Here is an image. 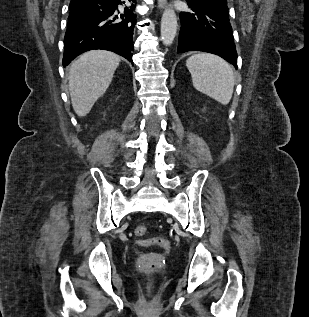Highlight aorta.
Returning <instances> with one entry per match:
<instances>
[{
  "label": "aorta",
  "mask_w": 309,
  "mask_h": 317,
  "mask_svg": "<svg viewBox=\"0 0 309 317\" xmlns=\"http://www.w3.org/2000/svg\"><path fill=\"white\" fill-rule=\"evenodd\" d=\"M177 32V17L175 11L168 7L164 10L161 19V39L165 46H170Z\"/></svg>",
  "instance_id": "obj_1"
}]
</instances>
